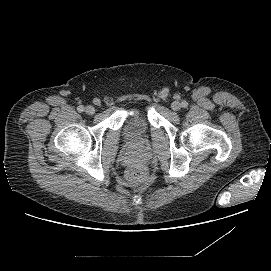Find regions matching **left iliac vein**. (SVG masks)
Instances as JSON below:
<instances>
[{
	"mask_svg": "<svg viewBox=\"0 0 271 271\" xmlns=\"http://www.w3.org/2000/svg\"><path fill=\"white\" fill-rule=\"evenodd\" d=\"M171 108L174 110V111H178L181 109V103L178 102V101H174L172 102L171 104Z\"/></svg>",
	"mask_w": 271,
	"mask_h": 271,
	"instance_id": "obj_1",
	"label": "left iliac vein"
}]
</instances>
